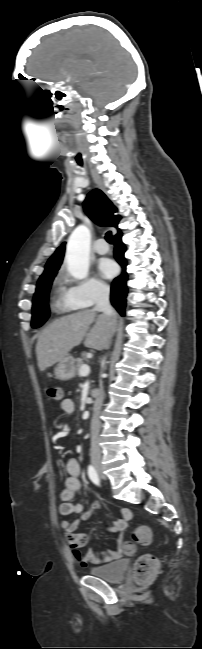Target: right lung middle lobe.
Segmentation results:
<instances>
[{"mask_svg":"<svg viewBox=\"0 0 202 649\" xmlns=\"http://www.w3.org/2000/svg\"><path fill=\"white\" fill-rule=\"evenodd\" d=\"M55 275L56 272H53L40 277L38 280L32 306L31 326L33 328L42 326L49 318L50 310L48 306V296Z\"/></svg>","mask_w":202,"mask_h":649,"instance_id":"right-lung-middle-lobe-1","label":"right lung middle lobe"}]
</instances>
